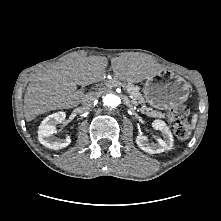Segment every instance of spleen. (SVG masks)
Returning a JSON list of instances; mask_svg holds the SVG:
<instances>
[{"mask_svg": "<svg viewBox=\"0 0 221 221\" xmlns=\"http://www.w3.org/2000/svg\"><path fill=\"white\" fill-rule=\"evenodd\" d=\"M197 122V114H194L192 117V125L191 128L194 129Z\"/></svg>", "mask_w": 221, "mask_h": 221, "instance_id": "1", "label": "spleen"}]
</instances>
